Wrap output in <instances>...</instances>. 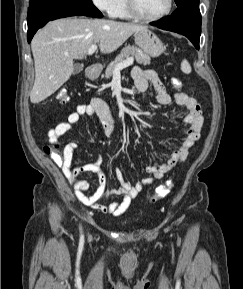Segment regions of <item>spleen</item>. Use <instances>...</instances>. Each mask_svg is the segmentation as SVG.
<instances>
[{
    "mask_svg": "<svg viewBox=\"0 0 243 289\" xmlns=\"http://www.w3.org/2000/svg\"><path fill=\"white\" fill-rule=\"evenodd\" d=\"M181 70L186 74L191 73V66L186 59H184L181 63Z\"/></svg>",
    "mask_w": 243,
    "mask_h": 289,
    "instance_id": "obj_1",
    "label": "spleen"
}]
</instances>
